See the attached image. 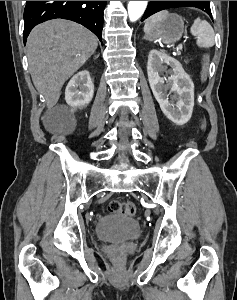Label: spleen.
Wrapping results in <instances>:
<instances>
[{"label": "spleen", "instance_id": "obj_1", "mask_svg": "<svg viewBox=\"0 0 237 300\" xmlns=\"http://www.w3.org/2000/svg\"><path fill=\"white\" fill-rule=\"evenodd\" d=\"M166 17H168V11H160V13H155V15L149 17L144 25V33H150L151 29H153L157 23L164 21ZM190 33L197 39V47H205V49L213 47L215 43V33L207 21L195 19L190 29Z\"/></svg>", "mask_w": 237, "mask_h": 300}]
</instances>
